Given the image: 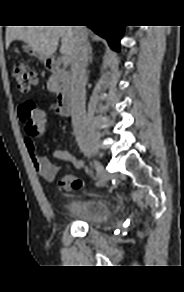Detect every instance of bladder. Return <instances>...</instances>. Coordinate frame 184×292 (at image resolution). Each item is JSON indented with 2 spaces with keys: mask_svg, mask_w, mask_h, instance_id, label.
Here are the masks:
<instances>
[{
  "mask_svg": "<svg viewBox=\"0 0 184 292\" xmlns=\"http://www.w3.org/2000/svg\"><path fill=\"white\" fill-rule=\"evenodd\" d=\"M65 214L69 218L92 226L102 225L113 216L109 203L101 198L75 200L67 206Z\"/></svg>",
  "mask_w": 184,
  "mask_h": 292,
  "instance_id": "obj_1",
  "label": "bladder"
}]
</instances>
